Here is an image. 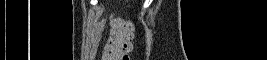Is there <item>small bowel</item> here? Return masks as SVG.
I'll list each match as a JSON object with an SVG mask.
<instances>
[{"label":"small bowel","instance_id":"c3829d8e","mask_svg":"<svg viewBox=\"0 0 267 60\" xmlns=\"http://www.w3.org/2000/svg\"><path fill=\"white\" fill-rule=\"evenodd\" d=\"M106 26V23H101L97 29V36L100 35V33L102 32V30L105 28ZM111 27H112V30L115 28V23L112 21L111 22Z\"/></svg>","mask_w":267,"mask_h":60}]
</instances>
